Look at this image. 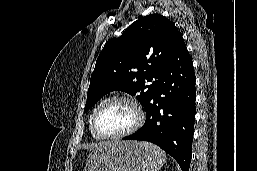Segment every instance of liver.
Wrapping results in <instances>:
<instances>
[{"instance_id": "6515ba94", "label": "liver", "mask_w": 257, "mask_h": 171, "mask_svg": "<svg viewBox=\"0 0 257 171\" xmlns=\"http://www.w3.org/2000/svg\"><path fill=\"white\" fill-rule=\"evenodd\" d=\"M113 142H103V143H99V144H96V145H94L91 149L93 150V151H96V150H99V149H101V148H103V147H105V146H107V145H109V144H112Z\"/></svg>"}]
</instances>
